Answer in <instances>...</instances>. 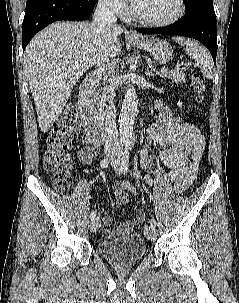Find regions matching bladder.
<instances>
[{"mask_svg": "<svg viewBox=\"0 0 239 303\" xmlns=\"http://www.w3.org/2000/svg\"><path fill=\"white\" fill-rule=\"evenodd\" d=\"M101 256L118 266H129L138 262L146 248L142 236L130 233L98 244Z\"/></svg>", "mask_w": 239, "mask_h": 303, "instance_id": "obj_1", "label": "bladder"}]
</instances>
